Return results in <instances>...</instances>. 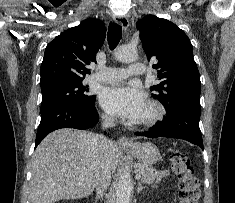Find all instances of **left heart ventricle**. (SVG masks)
<instances>
[{
    "label": "left heart ventricle",
    "instance_id": "1",
    "mask_svg": "<svg viewBox=\"0 0 235 203\" xmlns=\"http://www.w3.org/2000/svg\"><path fill=\"white\" fill-rule=\"evenodd\" d=\"M149 115V110L147 108L144 109L141 117L138 120H141Z\"/></svg>",
    "mask_w": 235,
    "mask_h": 203
}]
</instances>
